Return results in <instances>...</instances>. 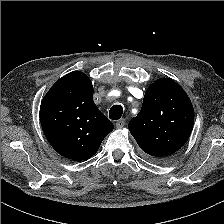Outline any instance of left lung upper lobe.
<instances>
[{"instance_id":"5c2ea615","label":"left lung upper lobe","mask_w":224,"mask_h":224,"mask_svg":"<svg viewBox=\"0 0 224 224\" xmlns=\"http://www.w3.org/2000/svg\"><path fill=\"white\" fill-rule=\"evenodd\" d=\"M193 124L194 109L185 91L172 79L161 78L148 87L129 130L145 153L161 158L187 142Z\"/></svg>"}]
</instances>
